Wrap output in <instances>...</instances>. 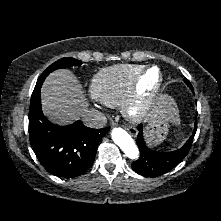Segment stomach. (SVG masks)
I'll return each instance as SVG.
<instances>
[{"label": "stomach", "instance_id": "1", "mask_svg": "<svg viewBox=\"0 0 221 221\" xmlns=\"http://www.w3.org/2000/svg\"><path fill=\"white\" fill-rule=\"evenodd\" d=\"M169 99L170 97L167 95H161L158 98L156 106L150 115L148 124L145 127L144 136L150 146L161 144L168 135L170 120L166 113L162 112V109Z\"/></svg>", "mask_w": 221, "mask_h": 221}]
</instances>
